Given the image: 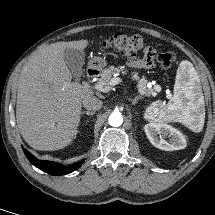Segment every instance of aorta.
<instances>
[{"mask_svg":"<svg viewBox=\"0 0 215 215\" xmlns=\"http://www.w3.org/2000/svg\"><path fill=\"white\" fill-rule=\"evenodd\" d=\"M109 124L113 127L121 126L123 123V117L119 112H114L109 116Z\"/></svg>","mask_w":215,"mask_h":215,"instance_id":"aorta-1","label":"aorta"}]
</instances>
